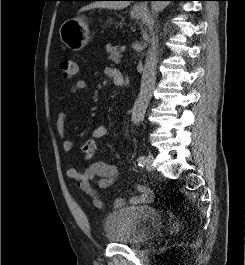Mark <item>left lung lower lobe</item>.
Masks as SVG:
<instances>
[{
  "mask_svg": "<svg viewBox=\"0 0 245 265\" xmlns=\"http://www.w3.org/2000/svg\"><path fill=\"white\" fill-rule=\"evenodd\" d=\"M127 1H154V0H127ZM171 1H180V0H171Z\"/></svg>",
  "mask_w": 245,
  "mask_h": 265,
  "instance_id": "obj_1",
  "label": "left lung lower lobe"
}]
</instances>
